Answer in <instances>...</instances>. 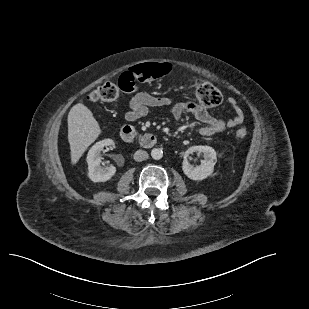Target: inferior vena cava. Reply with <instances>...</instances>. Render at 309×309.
<instances>
[{"label":"inferior vena cava","mask_w":309,"mask_h":309,"mask_svg":"<svg viewBox=\"0 0 309 309\" xmlns=\"http://www.w3.org/2000/svg\"><path fill=\"white\" fill-rule=\"evenodd\" d=\"M148 158V153L144 150H137L134 153V160L137 162L144 161Z\"/></svg>","instance_id":"1"}]
</instances>
